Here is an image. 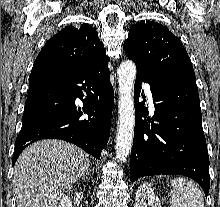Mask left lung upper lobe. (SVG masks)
Listing matches in <instances>:
<instances>
[{
    "instance_id": "obj_1",
    "label": "left lung upper lobe",
    "mask_w": 220,
    "mask_h": 207,
    "mask_svg": "<svg viewBox=\"0 0 220 207\" xmlns=\"http://www.w3.org/2000/svg\"><path fill=\"white\" fill-rule=\"evenodd\" d=\"M123 49L152 77L181 73L194 77L191 60L180 39L159 23L140 21L131 27Z\"/></svg>"
}]
</instances>
